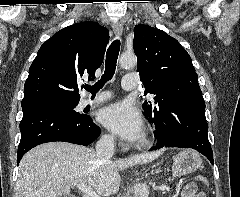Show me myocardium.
I'll list each match as a JSON object with an SVG mask.
<instances>
[{"mask_svg":"<svg viewBox=\"0 0 240 197\" xmlns=\"http://www.w3.org/2000/svg\"><path fill=\"white\" fill-rule=\"evenodd\" d=\"M152 144V138L149 134H146L140 141V146L148 147Z\"/></svg>","mask_w":240,"mask_h":197,"instance_id":"myocardium-1","label":"myocardium"}]
</instances>
